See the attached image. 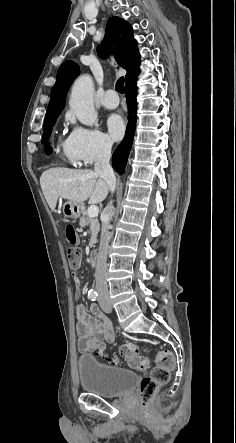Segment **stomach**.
Returning <instances> with one entry per match:
<instances>
[{
	"mask_svg": "<svg viewBox=\"0 0 236 443\" xmlns=\"http://www.w3.org/2000/svg\"><path fill=\"white\" fill-rule=\"evenodd\" d=\"M82 204L67 201L63 204L62 211L65 217L76 219L80 216Z\"/></svg>",
	"mask_w": 236,
	"mask_h": 443,
	"instance_id": "1",
	"label": "stomach"
}]
</instances>
